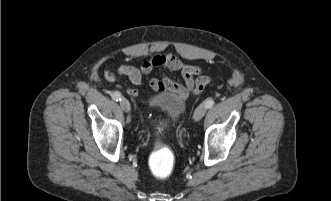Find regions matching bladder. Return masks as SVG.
<instances>
[{
  "label": "bladder",
  "mask_w": 331,
  "mask_h": 201,
  "mask_svg": "<svg viewBox=\"0 0 331 201\" xmlns=\"http://www.w3.org/2000/svg\"><path fill=\"white\" fill-rule=\"evenodd\" d=\"M147 107L153 114H161L166 126L172 127L185 115L187 101L174 92L164 91L149 96Z\"/></svg>",
  "instance_id": "1"
}]
</instances>
